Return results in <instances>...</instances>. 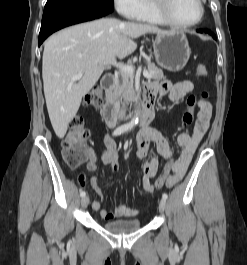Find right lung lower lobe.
I'll return each mask as SVG.
<instances>
[{"mask_svg": "<svg viewBox=\"0 0 247 265\" xmlns=\"http://www.w3.org/2000/svg\"><path fill=\"white\" fill-rule=\"evenodd\" d=\"M113 4L103 0H48L42 17L38 45L53 32L111 13Z\"/></svg>", "mask_w": 247, "mask_h": 265, "instance_id": "98d812e1", "label": "right lung lower lobe"}]
</instances>
